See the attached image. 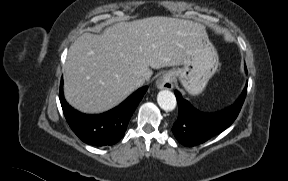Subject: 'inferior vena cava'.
<instances>
[{"label": "inferior vena cava", "instance_id": "602c4592", "mask_svg": "<svg viewBox=\"0 0 288 181\" xmlns=\"http://www.w3.org/2000/svg\"><path fill=\"white\" fill-rule=\"evenodd\" d=\"M145 83V78L141 77L135 80L134 84L136 87H140Z\"/></svg>", "mask_w": 288, "mask_h": 181}]
</instances>
